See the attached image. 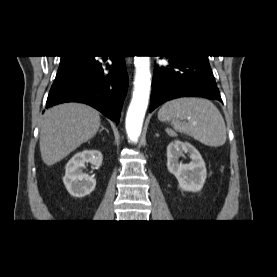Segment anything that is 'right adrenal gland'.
Here are the masks:
<instances>
[{"label":"right adrenal gland","instance_id":"2a0ac1e0","mask_svg":"<svg viewBox=\"0 0 277 277\" xmlns=\"http://www.w3.org/2000/svg\"><path fill=\"white\" fill-rule=\"evenodd\" d=\"M103 130H105L107 133H109L108 129L104 128L103 126H101V129L99 132H102Z\"/></svg>","mask_w":277,"mask_h":277}]
</instances>
